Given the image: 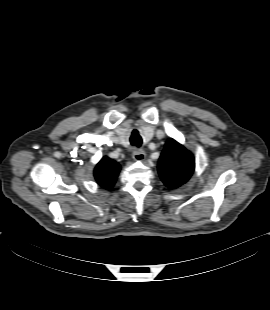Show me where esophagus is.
<instances>
[{
  "mask_svg": "<svg viewBox=\"0 0 270 310\" xmlns=\"http://www.w3.org/2000/svg\"><path fill=\"white\" fill-rule=\"evenodd\" d=\"M146 158V154L141 149H135L133 152V159L136 161H144Z\"/></svg>",
  "mask_w": 270,
  "mask_h": 310,
  "instance_id": "esophagus-1",
  "label": "esophagus"
}]
</instances>
